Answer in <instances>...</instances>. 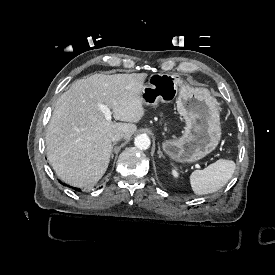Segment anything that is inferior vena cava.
<instances>
[{
	"label": "inferior vena cava",
	"mask_w": 275,
	"mask_h": 275,
	"mask_svg": "<svg viewBox=\"0 0 275 275\" xmlns=\"http://www.w3.org/2000/svg\"><path fill=\"white\" fill-rule=\"evenodd\" d=\"M124 137H125L124 132L116 131L115 133L112 134L111 140H112V142H118L119 140H121Z\"/></svg>",
	"instance_id": "obj_1"
}]
</instances>
